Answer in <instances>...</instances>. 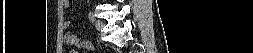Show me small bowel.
Masks as SVG:
<instances>
[{"instance_id":"small-bowel-1","label":"small bowel","mask_w":253,"mask_h":53,"mask_svg":"<svg viewBox=\"0 0 253 53\" xmlns=\"http://www.w3.org/2000/svg\"><path fill=\"white\" fill-rule=\"evenodd\" d=\"M63 2H67V1H63ZM69 26H70V23H69L68 21L64 22V28H65V29H68ZM65 42H66L68 45L79 46L80 40H78L74 34H72V33H67V34L65 35Z\"/></svg>"}]
</instances>
